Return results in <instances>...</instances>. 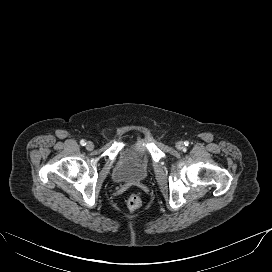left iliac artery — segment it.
<instances>
[{
	"label": "left iliac artery",
	"instance_id": "1",
	"mask_svg": "<svg viewBox=\"0 0 272 272\" xmlns=\"http://www.w3.org/2000/svg\"><path fill=\"white\" fill-rule=\"evenodd\" d=\"M184 144H185V146H188L189 142H188V141H186V142H184Z\"/></svg>",
	"mask_w": 272,
	"mask_h": 272
}]
</instances>
